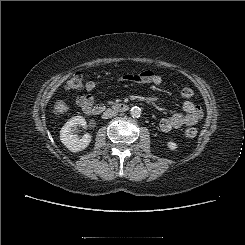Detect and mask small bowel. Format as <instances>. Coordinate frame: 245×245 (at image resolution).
I'll list each match as a JSON object with an SVG mask.
<instances>
[{
    "label": "small bowel",
    "instance_id": "obj_1",
    "mask_svg": "<svg viewBox=\"0 0 245 245\" xmlns=\"http://www.w3.org/2000/svg\"><path fill=\"white\" fill-rule=\"evenodd\" d=\"M122 79L135 83L153 84L157 86L163 81L161 75L151 70H145L137 74L124 75ZM94 88L95 83L93 81H88L85 85V89L88 93L78 96L76 100L77 105L86 113H88L89 108L94 103V97L91 94ZM182 109L184 114L175 113L169 117L163 118L160 121L159 127L163 132H169L172 129H177L182 126L194 125L203 116L201 106L193 103L191 100H185L182 104Z\"/></svg>",
    "mask_w": 245,
    "mask_h": 245
}]
</instances>
